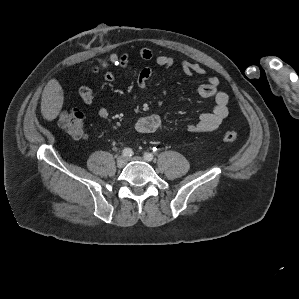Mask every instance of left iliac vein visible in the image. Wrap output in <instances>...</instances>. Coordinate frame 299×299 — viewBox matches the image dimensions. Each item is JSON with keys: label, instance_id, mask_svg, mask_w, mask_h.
I'll return each mask as SVG.
<instances>
[{"label": "left iliac vein", "instance_id": "1", "mask_svg": "<svg viewBox=\"0 0 299 299\" xmlns=\"http://www.w3.org/2000/svg\"><path fill=\"white\" fill-rule=\"evenodd\" d=\"M127 160L128 161H141L142 158L141 157H131V158H128ZM145 161H148V160H145Z\"/></svg>", "mask_w": 299, "mask_h": 299}]
</instances>
